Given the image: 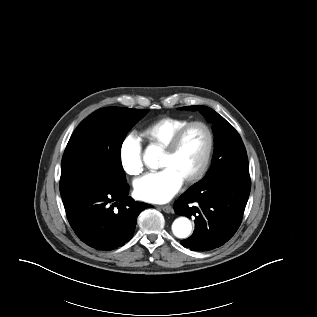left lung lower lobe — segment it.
Returning <instances> with one entry per match:
<instances>
[{
  "instance_id": "left-lung-lower-lobe-1",
  "label": "left lung lower lobe",
  "mask_w": 317,
  "mask_h": 317,
  "mask_svg": "<svg viewBox=\"0 0 317 317\" xmlns=\"http://www.w3.org/2000/svg\"><path fill=\"white\" fill-rule=\"evenodd\" d=\"M250 189L249 174L193 185L174 204L177 214L195 217V230L181 245L192 251H207L230 240L240 226Z\"/></svg>"
}]
</instances>
